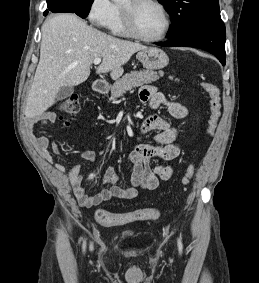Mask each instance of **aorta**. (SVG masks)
I'll use <instances>...</instances> for the list:
<instances>
[{
    "instance_id": "aorta-1",
    "label": "aorta",
    "mask_w": 259,
    "mask_h": 283,
    "mask_svg": "<svg viewBox=\"0 0 259 283\" xmlns=\"http://www.w3.org/2000/svg\"><path fill=\"white\" fill-rule=\"evenodd\" d=\"M114 2H120L121 0H113Z\"/></svg>"
}]
</instances>
